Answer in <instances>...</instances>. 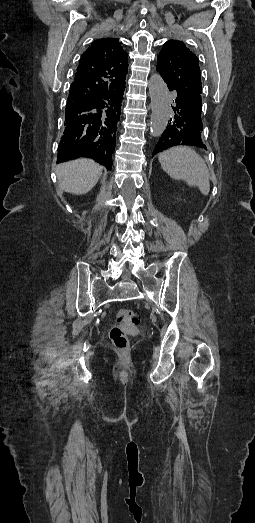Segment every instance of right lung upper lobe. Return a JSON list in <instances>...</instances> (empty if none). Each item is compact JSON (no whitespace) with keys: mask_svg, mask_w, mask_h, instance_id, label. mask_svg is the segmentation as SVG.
I'll return each mask as SVG.
<instances>
[{"mask_svg":"<svg viewBox=\"0 0 255 523\" xmlns=\"http://www.w3.org/2000/svg\"><path fill=\"white\" fill-rule=\"evenodd\" d=\"M128 54L117 39H97L82 54L71 84L66 104L65 130L58 146L57 162L89 157L112 168L117 124L128 73ZM97 99L100 102V142L86 153L83 144V119L79 103Z\"/></svg>","mask_w":255,"mask_h":523,"instance_id":"right-lung-upper-lobe-1","label":"right lung upper lobe"}]
</instances>
